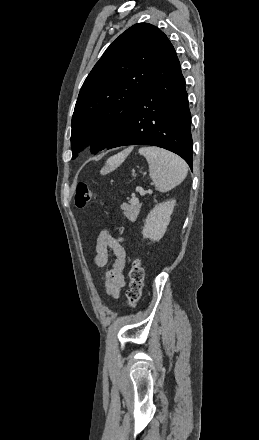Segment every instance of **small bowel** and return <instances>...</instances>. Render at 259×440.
I'll use <instances>...</instances> for the list:
<instances>
[{
	"instance_id": "obj_1",
	"label": "small bowel",
	"mask_w": 259,
	"mask_h": 440,
	"mask_svg": "<svg viewBox=\"0 0 259 440\" xmlns=\"http://www.w3.org/2000/svg\"><path fill=\"white\" fill-rule=\"evenodd\" d=\"M110 254L113 255L112 264L106 270H101L99 276L105 292L117 298L126 284V249L121 237H115L110 229H105L99 233L95 242L94 260L97 267H107Z\"/></svg>"
}]
</instances>
